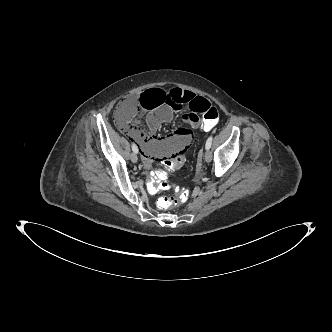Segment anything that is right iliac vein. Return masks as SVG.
<instances>
[{
  "label": "right iliac vein",
  "mask_w": 332,
  "mask_h": 332,
  "mask_svg": "<svg viewBox=\"0 0 332 332\" xmlns=\"http://www.w3.org/2000/svg\"><path fill=\"white\" fill-rule=\"evenodd\" d=\"M130 158L133 163H136L138 161V157H137L136 153H132Z\"/></svg>",
  "instance_id": "obj_1"
}]
</instances>
